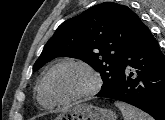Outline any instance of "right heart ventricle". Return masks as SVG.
<instances>
[{"label": "right heart ventricle", "instance_id": "right-heart-ventricle-1", "mask_svg": "<svg viewBox=\"0 0 165 120\" xmlns=\"http://www.w3.org/2000/svg\"><path fill=\"white\" fill-rule=\"evenodd\" d=\"M37 97L39 103L44 107L52 108L55 105V103L49 98L45 91L43 80L38 86Z\"/></svg>", "mask_w": 165, "mask_h": 120}]
</instances>
